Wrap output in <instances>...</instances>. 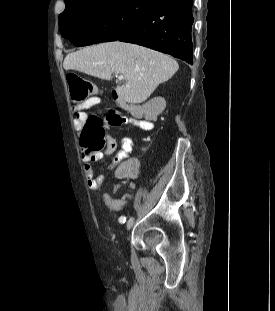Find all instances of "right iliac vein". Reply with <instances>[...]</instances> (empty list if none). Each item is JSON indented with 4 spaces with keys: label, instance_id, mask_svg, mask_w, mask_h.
<instances>
[{
    "label": "right iliac vein",
    "instance_id": "right-iliac-vein-1",
    "mask_svg": "<svg viewBox=\"0 0 275 311\" xmlns=\"http://www.w3.org/2000/svg\"><path fill=\"white\" fill-rule=\"evenodd\" d=\"M134 217H131L128 221H127V224H126V227H127V230H130L134 224Z\"/></svg>",
    "mask_w": 275,
    "mask_h": 311
}]
</instances>
